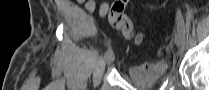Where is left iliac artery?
Wrapping results in <instances>:
<instances>
[{
    "instance_id": "1",
    "label": "left iliac artery",
    "mask_w": 209,
    "mask_h": 90,
    "mask_svg": "<svg viewBox=\"0 0 209 90\" xmlns=\"http://www.w3.org/2000/svg\"><path fill=\"white\" fill-rule=\"evenodd\" d=\"M177 30L179 31L180 36H183V33H185L184 22L181 15H178Z\"/></svg>"
}]
</instances>
